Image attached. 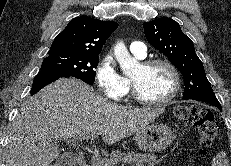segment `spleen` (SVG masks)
Listing matches in <instances>:
<instances>
[{
  "instance_id": "1",
  "label": "spleen",
  "mask_w": 231,
  "mask_h": 166,
  "mask_svg": "<svg viewBox=\"0 0 231 166\" xmlns=\"http://www.w3.org/2000/svg\"><path fill=\"white\" fill-rule=\"evenodd\" d=\"M212 166H229L225 152H219L212 162Z\"/></svg>"
}]
</instances>
